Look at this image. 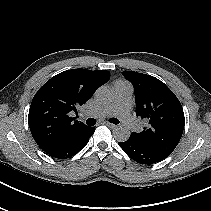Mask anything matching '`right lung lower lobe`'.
<instances>
[{
    "label": "right lung lower lobe",
    "instance_id": "obj_1",
    "mask_svg": "<svg viewBox=\"0 0 211 211\" xmlns=\"http://www.w3.org/2000/svg\"><path fill=\"white\" fill-rule=\"evenodd\" d=\"M95 131L94 127H89L82 133H79L66 140L59 147L46 152L49 156L57 159H67L77 154L88 143L89 138Z\"/></svg>",
    "mask_w": 211,
    "mask_h": 211
}]
</instances>
